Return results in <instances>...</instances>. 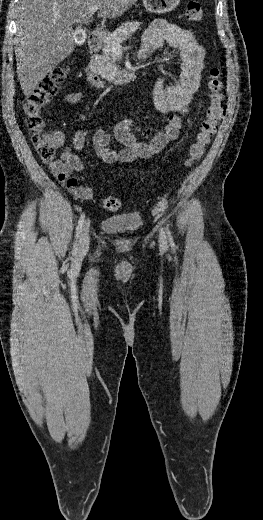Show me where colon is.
Masks as SVG:
<instances>
[{"mask_svg": "<svg viewBox=\"0 0 263 520\" xmlns=\"http://www.w3.org/2000/svg\"><path fill=\"white\" fill-rule=\"evenodd\" d=\"M185 16L189 21L200 22L203 19L201 5L198 2L190 1L186 6ZM67 72L68 68L64 65L52 70L30 93L24 105L25 123L32 134V144L40 159L44 162H50L54 159L59 146L53 136L44 131L45 123L42 112L45 105L59 91L67 77ZM208 95L209 104L205 110L204 119L199 125L195 141L189 148L187 160L189 165L202 157L223 116L222 73L217 67L210 69ZM103 206L110 212H116L121 208V202L114 196H107L103 199Z\"/></svg>", "mask_w": 263, "mask_h": 520, "instance_id": "1", "label": "colon"}]
</instances>
